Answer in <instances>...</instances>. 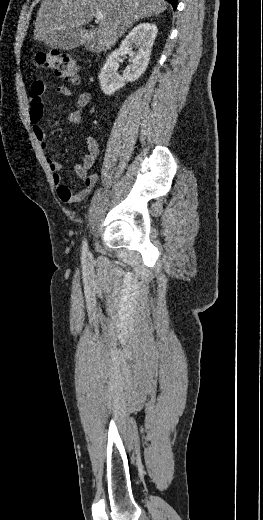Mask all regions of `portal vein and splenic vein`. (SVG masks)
I'll return each mask as SVG.
<instances>
[{
  "label": "portal vein and splenic vein",
  "mask_w": 263,
  "mask_h": 520,
  "mask_svg": "<svg viewBox=\"0 0 263 520\" xmlns=\"http://www.w3.org/2000/svg\"><path fill=\"white\" fill-rule=\"evenodd\" d=\"M104 17H105V15H104L102 12H96V13H95V18H96L97 20H101V19H103Z\"/></svg>",
  "instance_id": "obj_1"
}]
</instances>
